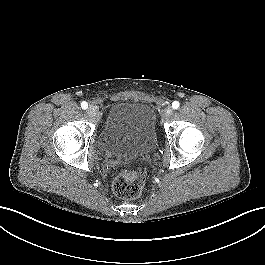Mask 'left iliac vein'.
Segmentation results:
<instances>
[{
    "mask_svg": "<svg viewBox=\"0 0 265 265\" xmlns=\"http://www.w3.org/2000/svg\"><path fill=\"white\" fill-rule=\"evenodd\" d=\"M173 114V109L168 106L164 111V120H167Z\"/></svg>",
    "mask_w": 265,
    "mask_h": 265,
    "instance_id": "left-iliac-vein-1",
    "label": "left iliac vein"
}]
</instances>
